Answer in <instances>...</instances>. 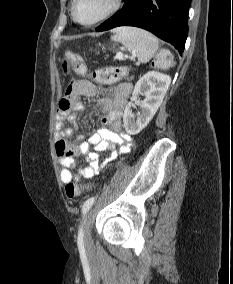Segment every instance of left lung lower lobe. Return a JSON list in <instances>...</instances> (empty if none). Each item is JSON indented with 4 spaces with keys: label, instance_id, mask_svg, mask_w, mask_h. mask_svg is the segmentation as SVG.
<instances>
[{
    "label": "left lung lower lobe",
    "instance_id": "1",
    "mask_svg": "<svg viewBox=\"0 0 233 284\" xmlns=\"http://www.w3.org/2000/svg\"><path fill=\"white\" fill-rule=\"evenodd\" d=\"M191 0H125L123 8L95 30L119 26L148 30L171 43L182 55L188 36V13Z\"/></svg>",
    "mask_w": 233,
    "mask_h": 284
}]
</instances>
